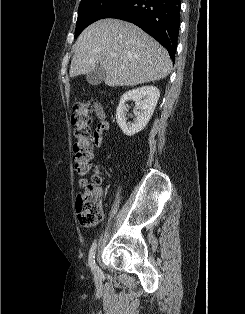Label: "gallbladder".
Instances as JSON below:
<instances>
[{"label": "gallbladder", "instance_id": "gallbladder-1", "mask_svg": "<svg viewBox=\"0 0 245 314\" xmlns=\"http://www.w3.org/2000/svg\"><path fill=\"white\" fill-rule=\"evenodd\" d=\"M87 82L93 86L101 84L105 79V71L100 66H96L86 76Z\"/></svg>", "mask_w": 245, "mask_h": 314}]
</instances>
